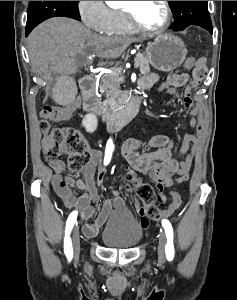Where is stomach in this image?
Wrapping results in <instances>:
<instances>
[{
  "label": "stomach",
  "instance_id": "stomach-1",
  "mask_svg": "<svg viewBox=\"0 0 237 300\" xmlns=\"http://www.w3.org/2000/svg\"><path fill=\"white\" fill-rule=\"evenodd\" d=\"M145 55L154 69L175 71L184 63L187 49L182 39L171 33H163L147 45Z\"/></svg>",
  "mask_w": 237,
  "mask_h": 300
}]
</instances>
